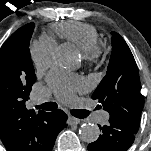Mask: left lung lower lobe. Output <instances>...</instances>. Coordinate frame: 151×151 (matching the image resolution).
Segmentation results:
<instances>
[{"label":"left lung lower lobe","instance_id":"left-lung-lower-lobe-1","mask_svg":"<svg viewBox=\"0 0 151 151\" xmlns=\"http://www.w3.org/2000/svg\"><path fill=\"white\" fill-rule=\"evenodd\" d=\"M99 127L102 135L88 145L89 151H126L134 141L135 134L117 123L109 121L108 125Z\"/></svg>","mask_w":151,"mask_h":151}]
</instances>
